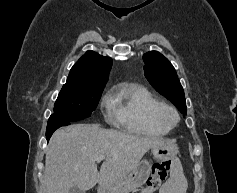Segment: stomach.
I'll list each match as a JSON object with an SVG mask.
<instances>
[{
	"mask_svg": "<svg viewBox=\"0 0 237 193\" xmlns=\"http://www.w3.org/2000/svg\"><path fill=\"white\" fill-rule=\"evenodd\" d=\"M152 153L159 160H168L175 157L177 147L171 142L164 141L153 146ZM150 171V163L147 160H142L130 174L121 180L107 185H100L98 193H130L145 184Z\"/></svg>",
	"mask_w": 237,
	"mask_h": 193,
	"instance_id": "stomach-1",
	"label": "stomach"
}]
</instances>
